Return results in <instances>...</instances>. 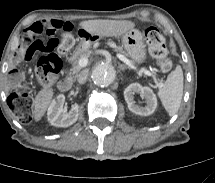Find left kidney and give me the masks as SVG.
<instances>
[{
	"instance_id": "1",
	"label": "left kidney",
	"mask_w": 215,
	"mask_h": 183,
	"mask_svg": "<svg viewBox=\"0 0 215 183\" xmlns=\"http://www.w3.org/2000/svg\"><path fill=\"white\" fill-rule=\"evenodd\" d=\"M134 94H140L146 100V106L141 107L135 104ZM124 98L130 111L141 116L151 115L157 107V99L152 89L141 86L139 83H132L124 90Z\"/></svg>"
}]
</instances>
